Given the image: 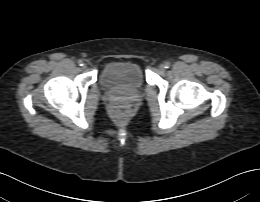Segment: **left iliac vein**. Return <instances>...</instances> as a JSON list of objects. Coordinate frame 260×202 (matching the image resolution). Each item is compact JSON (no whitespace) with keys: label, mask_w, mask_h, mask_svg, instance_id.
I'll list each match as a JSON object with an SVG mask.
<instances>
[{"label":"left iliac vein","mask_w":260,"mask_h":202,"mask_svg":"<svg viewBox=\"0 0 260 202\" xmlns=\"http://www.w3.org/2000/svg\"><path fill=\"white\" fill-rule=\"evenodd\" d=\"M159 70H160V71H165V66H164V64H160V65H159Z\"/></svg>","instance_id":"left-iliac-vein-1"}]
</instances>
